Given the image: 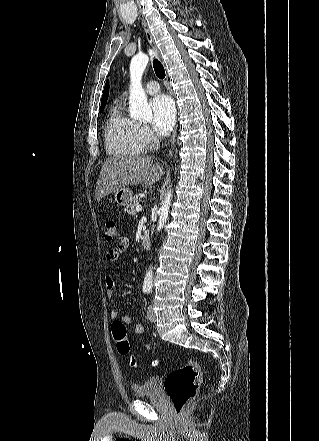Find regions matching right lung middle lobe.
<instances>
[{"instance_id":"dd1d6c3e","label":"right lung middle lobe","mask_w":319,"mask_h":441,"mask_svg":"<svg viewBox=\"0 0 319 441\" xmlns=\"http://www.w3.org/2000/svg\"><path fill=\"white\" fill-rule=\"evenodd\" d=\"M105 105L101 106L100 111L102 112L104 110Z\"/></svg>"}]
</instances>
